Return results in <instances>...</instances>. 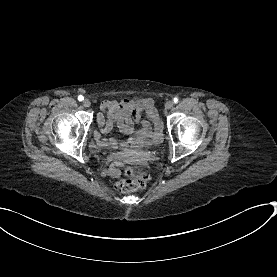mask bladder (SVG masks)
Here are the masks:
<instances>
[{
  "instance_id": "1",
  "label": "bladder",
  "mask_w": 277,
  "mask_h": 277,
  "mask_svg": "<svg viewBox=\"0 0 277 277\" xmlns=\"http://www.w3.org/2000/svg\"><path fill=\"white\" fill-rule=\"evenodd\" d=\"M157 140L156 141H159L160 140V138H161V136H162V132L161 131H158V134H157Z\"/></svg>"
}]
</instances>
